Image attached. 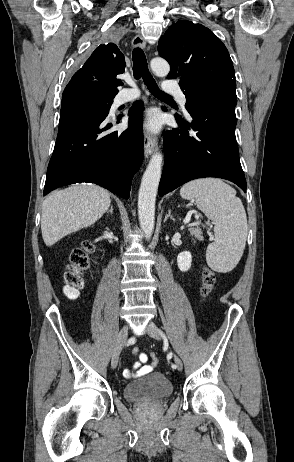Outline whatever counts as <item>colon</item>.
<instances>
[{
    "mask_svg": "<svg viewBox=\"0 0 294 462\" xmlns=\"http://www.w3.org/2000/svg\"><path fill=\"white\" fill-rule=\"evenodd\" d=\"M94 244L85 241L81 248L75 249L71 255L69 264L64 274V294L70 299L77 298L79 291L84 286V274L91 266L90 255L94 252ZM215 285V276L212 271L205 269L202 276L201 293L206 298ZM151 364L157 365L158 357L155 354L150 356Z\"/></svg>",
    "mask_w": 294,
    "mask_h": 462,
    "instance_id": "5ec220e1",
    "label": "colon"
}]
</instances>
